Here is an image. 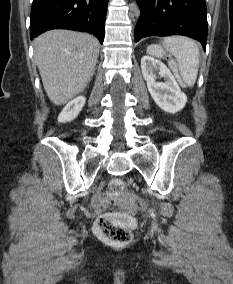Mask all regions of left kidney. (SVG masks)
I'll return each mask as SVG.
<instances>
[{
    "label": "left kidney",
    "instance_id": "left-kidney-1",
    "mask_svg": "<svg viewBox=\"0 0 233 284\" xmlns=\"http://www.w3.org/2000/svg\"><path fill=\"white\" fill-rule=\"evenodd\" d=\"M141 69L149 93L162 110L174 114L185 107L187 96L164 63L146 55L141 59ZM158 77L163 78L164 82L156 81Z\"/></svg>",
    "mask_w": 233,
    "mask_h": 284
}]
</instances>
